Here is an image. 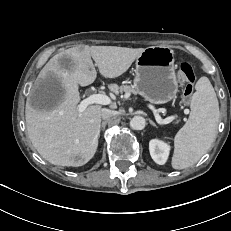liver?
<instances>
[{
	"label": "liver",
	"instance_id": "1",
	"mask_svg": "<svg viewBox=\"0 0 231 231\" xmlns=\"http://www.w3.org/2000/svg\"><path fill=\"white\" fill-rule=\"evenodd\" d=\"M144 48L75 46L54 55L40 71L36 84L58 83L52 107L25 108L28 136L43 159L54 165L78 167L96 153L101 127V105H90L78 113L79 87L92 84L98 67L105 78L125 73ZM94 60L95 64H93ZM44 105V103H42Z\"/></svg>",
	"mask_w": 231,
	"mask_h": 231
}]
</instances>
